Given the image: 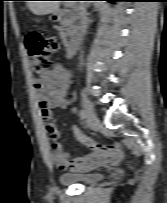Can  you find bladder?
<instances>
[{
    "instance_id": "31cf9c89",
    "label": "bladder",
    "mask_w": 167,
    "mask_h": 203,
    "mask_svg": "<svg viewBox=\"0 0 167 203\" xmlns=\"http://www.w3.org/2000/svg\"><path fill=\"white\" fill-rule=\"evenodd\" d=\"M103 178L100 172H68L59 175L58 180L64 185L91 184Z\"/></svg>"
}]
</instances>
